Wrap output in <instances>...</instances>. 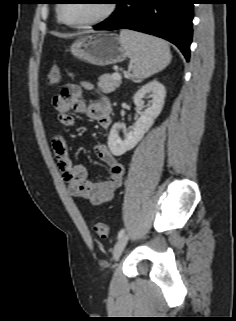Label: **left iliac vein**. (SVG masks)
Here are the masks:
<instances>
[{"instance_id":"left-iliac-vein-1","label":"left iliac vein","mask_w":236,"mask_h":321,"mask_svg":"<svg viewBox=\"0 0 236 321\" xmlns=\"http://www.w3.org/2000/svg\"><path fill=\"white\" fill-rule=\"evenodd\" d=\"M128 242V236L127 235H123L117 242L116 244L114 245V248H113V258L115 260H117L122 251L124 250L126 244Z\"/></svg>"}]
</instances>
